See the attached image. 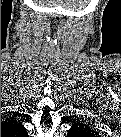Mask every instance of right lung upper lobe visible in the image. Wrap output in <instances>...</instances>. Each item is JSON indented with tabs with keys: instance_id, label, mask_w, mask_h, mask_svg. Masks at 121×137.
<instances>
[{
	"instance_id": "right-lung-upper-lobe-1",
	"label": "right lung upper lobe",
	"mask_w": 121,
	"mask_h": 137,
	"mask_svg": "<svg viewBox=\"0 0 121 137\" xmlns=\"http://www.w3.org/2000/svg\"><path fill=\"white\" fill-rule=\"evenodd\" d=\"M8 130H17L22 133H26L25 129L21 126V124L17 123L14 120H6L1 123V132Z\"/></svg>"
}]
</instances>
